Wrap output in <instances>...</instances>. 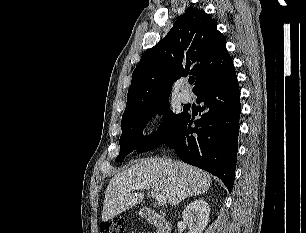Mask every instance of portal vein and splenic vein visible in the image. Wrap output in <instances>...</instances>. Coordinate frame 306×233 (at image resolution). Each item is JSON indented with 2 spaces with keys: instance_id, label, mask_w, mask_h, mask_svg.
<instances>
[{
  "instance_id": "1",
  "label": "portal vein and splenic vein",
  "mask_w": 306,
  "mask_h": 233,
  "mask_svg": "<svg viewBox=\"0 0 306 233\" xmlns=\"http://www.w3.org/2000/svg\"><path fill=\"white\" fill-rule=\"evenodd\" d=\"M142 188L150 190V187L147 186V185H144V184L133 185L129 188V190H138V189H142ZM151 196L157 201L158 205L162 206V205H165L166 202H167L164 195L159 194L158 192H155L153 190H151Z\"/></svg>"
}]
</instances>
